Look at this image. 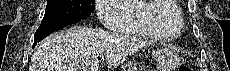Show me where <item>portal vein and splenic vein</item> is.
<instances>
[{
    "label": "portal vein and splenic vein",
    "instance_id": "18ae733b",
    "mask_svg": "<svg viewBox=\"0 0 230 71\" xmlns=\"http://www.w3.org/2000/svg\"><path fill=\"white\" fill-rule=\"evenodd\" d=\"M98 66H99V62H98V60H95V61L93 62V64H92V67L90 68V70H91V71H97ZM82 70H83V71H89V69H87V68H83Z\"/></svg>",
    "mask_w": 230,
    "mask_h": 71
}]
</instances>
